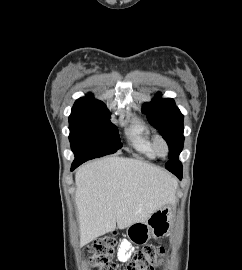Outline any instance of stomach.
<instances>
[{"instance_id": "stomach-1", "label": "stomach", "mask_w": 242, "mask_h": 270, "mask_svg": "<svg viewBox=\"0 0 242 270\" xmlns=\"http://www.w3.org/2000/svg\"><path fill=\"white\" fill-rule=\"evenodd\" d=\"M173 217L172 207L167 204L150 215L146 221L129 225L126 229L127 237L137 245L146 244L151 237H166L172 228Z\"/></svg>"}]
</instances>
